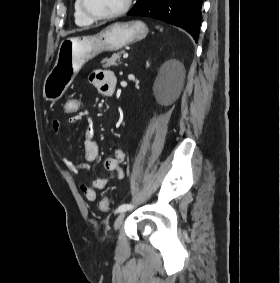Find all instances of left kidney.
Returning a JSON list of instances; mask_svg holds the SVG:
<instances>
[{
	"label": "left kidney",
	"instance_id": "obj_1",
	"mask_svg": "<svg viewBox=\"0 0 280 283\" xmlns=\"http://www.w3.org/2000/svg\"><path fill=\"white\" fill-rule=\"evenodd\" d=\"M149 66V63L147 62V67Z\"/></svg>",
	"mask_w": 280,
	"mask_h": 283
}]
</instances>
